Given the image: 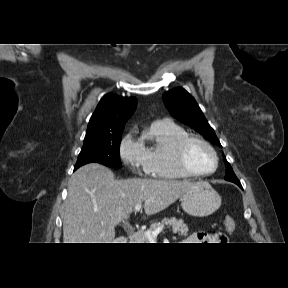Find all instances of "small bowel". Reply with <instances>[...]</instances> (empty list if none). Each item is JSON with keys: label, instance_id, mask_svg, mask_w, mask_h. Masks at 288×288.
<instances>
[{"label": "small bowel", "instance_id": "small-bowel-1", "mask_svg": "<svg viewBox=\"0 0 288 288\" xmlns=\"http://www.w3.org/2000/svg\"><path fill=\"white\" fill-rule=\"evenodd\" d=\"M188 241L190 243H211V242H225V236L222 233H215L209 236L205 232H195L189 238Z\"/></svg>", "mask_w": 288, "mask_h": 288}]
</instances>
